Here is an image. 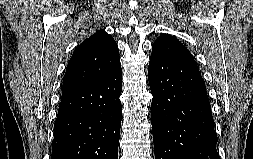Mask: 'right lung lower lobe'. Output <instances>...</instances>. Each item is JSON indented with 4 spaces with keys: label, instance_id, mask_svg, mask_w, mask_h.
<instances>
[{
    "label": "right lung lower lobe",
    "instance_id": "obj_1",
    "mask_svg": "<svg viewBox=\"0 0 253 159\" xmlns=\"http://www.w3.org/2000/svg\"><path fill=\"white\" fill-rule=\"evenodd\" d=\"M121 66L61 97L51 159H118Z\"/></svg>",
    "mask_w": 253,
    "mask_h": 159
}]
</instances>
